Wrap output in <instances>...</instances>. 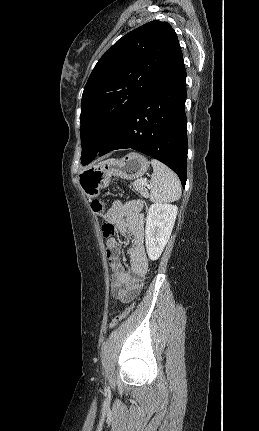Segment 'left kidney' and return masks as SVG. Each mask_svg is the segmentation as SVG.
I'll return each instance as SVG.
<instances>
[{
  "instance_id": "5707ae66",
  "label": "left kidney",
  "mask_w": 259,
  "mask_h": 431,
  "mask_svg": "<svg viewBox=\"0 0 259 431\" xmlns=\"http://www.w3.org/2000/svg\"><path fill=\"white\" fill-rule=\"evenodd\" d=\"M177 211V206L166 203H154L148 209L145 243L151 260H157L163 252L170 238Z\"/></svg>"
}]
</instances>
